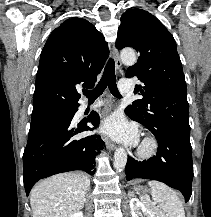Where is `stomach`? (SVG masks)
I'll return each mask as SVG.
<instances>
[{
	"label": "stomach",
	"mask_w": 211,
	"mask_h": 217,
	"mask_svg": "<svg viewBox=\"0 0 211 217\" xmlns=\"http://www.w3.org/2000/svg\"><path fill=\"white\" fill-rule=\"evenodd\" d=\"M135 190H143L142 187H136Z\"/></svg>",
	"instance_id": "stomach-1"
}]
</instances>
